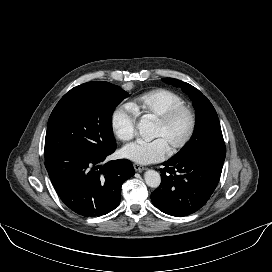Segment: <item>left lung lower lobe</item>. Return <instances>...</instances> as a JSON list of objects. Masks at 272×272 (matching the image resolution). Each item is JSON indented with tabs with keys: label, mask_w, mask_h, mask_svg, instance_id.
<instances>
[{
	"label": "left lung lower lobe",
	"mask_w": 272,
	"mask_h": 272,
	"mask_svg": "<svg viewBox=\"0 0 272 272\" xmlns=\"http://www.w3.org/2000/svg\"><path fill=\"white\" fill-rule=\"evenodd\" d=\"M160 169L162 182L152 192L156 208L171 216H187L201 209L218 185L222 164L193 156L172 159Z\"/></svg>",
	"instance_id": "0a47b994"
}]
</instances>
